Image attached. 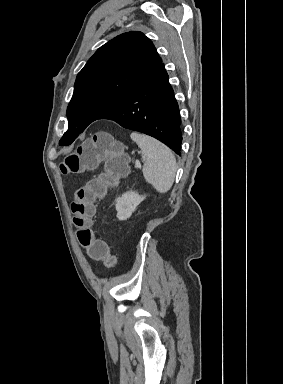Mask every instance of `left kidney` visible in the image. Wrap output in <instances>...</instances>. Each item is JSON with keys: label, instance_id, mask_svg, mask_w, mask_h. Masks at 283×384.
Wrapping results in <instances>:
<instances>
[{"label": "left kidney", "instance_id": "1", "mask_svg": "<svg viewBox=\"0 0 283 384\" xmlns=\"http://www.w3.org/2000/svg\"><path fill=\"white\" fill-rule=\"evenodd\" d=\"M145 200L144 196H139L136 192H125L121 198L116 200V210L118 220H127L135 212L137 206Z\"/></svg>", "mask_w": 283, "mask_h": 384}]
</instances>
